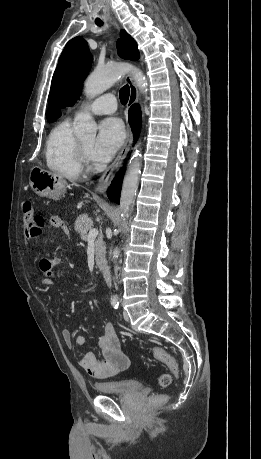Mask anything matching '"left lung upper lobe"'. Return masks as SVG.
Listing matches in <instances>:
<instances>
[{"mask_svg": "<svg viewBox=\"0 0 261 459\" xmlns=\"http://www.w3.org/2000/svg\"><path fill=\"white\" fill-rule=\"evenodd\" d=\"M117 41L118 54L124 59H139L136 42L124 31ZM92 63L87 42L82 37H75L65 46L54 72L49 94L48 121H53L61 114L60 109L72 106L78 100L82 84L88 75Z\"/></svg>", "mask_w": 261, "mask_h": 459, "instance_id": "5c2ea615", "label": "left lung upper lobe"}]
</instances>
